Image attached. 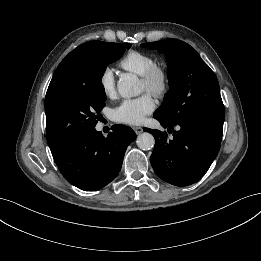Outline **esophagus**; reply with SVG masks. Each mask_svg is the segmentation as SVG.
I'll use <instances>...</instances> for the list:
<instances>
[{
  "instance_id": "34e87169",
  "label": "esophagus",
  "mask_w": 261,
  "mask_h": 261,
  "mask_svg": "<svg viewBox=\"0 0 261 261\" xmlns=\"http://www.w3.org/2000/svg\"><path fill=\"white\" fill-rule=\"evenodd\" d=\"M133 129H134V131H135L136 134H140V133L143 132V128H142V127H139V126H136V127H134Z\"/></svg>"
}]
</instances>
